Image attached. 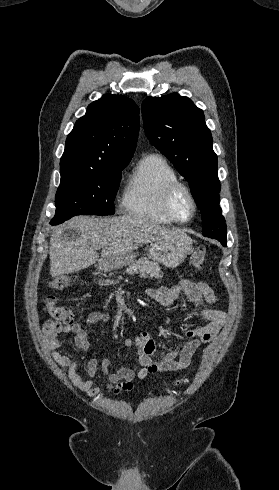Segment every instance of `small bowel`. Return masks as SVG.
Here are the masks:
<instances>
[{
  "mask_svg": "<svg viewBox=\"0 0 279 490\" xmlns=\"http://www.w3.org/2000/svg\"><path fill=\"white\" fill-rule=\"evenodd\" d=\"M184 292L191 302L200 307L201 315L206 323L186 332L188 340L166 354L161 360L152 358L155 353V341L148 332H142L136 337L126 338L123 345L127 348H136L139 356L140 369L134 370L121 367L111 371V361L103 359L100 363L90 360L86 363V372L90 379H83L77 372L78 361L73 355L60 352L62 346L61 335H73L74 345L78 350L86 351L88 348L87 331L90 327L109 321L110 315L103 311L91 312L83 321L70 325L47 320L42 326V335L45 345L52 352L56 363L66 372L73 385L89 396H96L103 391L127 392L133 388V380L138 377L145 378L150 373L162 371H177L186 369L200 346L211 342L219 333L226 321V313L221 310L210 309L208 304L217 302V297L210 286L204 281L182 279L171 287H160L146 290V295L162 306H171ZM103 377L107 383L103 386H93V379Z\"/></svg>",
  "mask_w": 279,
  "mask_h": 490,
  "instance_id": "1",
  "label": "small bowel"
}]
</instances>
